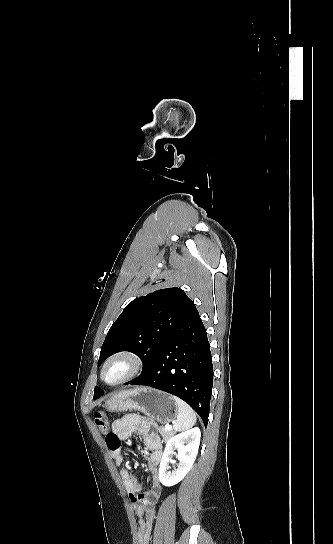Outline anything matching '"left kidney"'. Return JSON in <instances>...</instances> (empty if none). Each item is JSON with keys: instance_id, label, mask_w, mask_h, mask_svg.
<instances>
[{"instance_id": "1", "label": "left kidney", "mask_w": 333, "mask_h": 544, "mask_svg": "<svg viewBox=\"0 0 333 544\" xmlns=\"http://www.w3.org/2000/svg\"><path fill=\"white\" fill-rule=\"evenodd\" d=\"M200 437V429L195 427L167 441L159 467V480L164 486L169 487L179 483L190 471L198 453ZM175 449L178 450L176 458L179 464L173 471H168Z\"/></svg>"}]
</instances>
